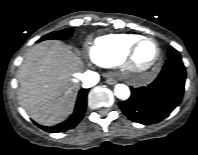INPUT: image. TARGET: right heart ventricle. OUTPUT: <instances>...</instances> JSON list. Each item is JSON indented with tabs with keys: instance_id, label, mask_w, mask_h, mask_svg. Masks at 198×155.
<instances>
[{
	"instance_id": "e07e8e85",
	"label": "right heart ventricle",
	"mask_w": 198,
	"mask_h": 155,
	"mask_svg": "<svg viewBox=\"0 0 198 155\" xmlns=\"http://www.w3.org/2000/svg\"><path fill=\"white\" fill-rule=\"evenodd\" d=\"M142 36L137 34H108L96 38L90 47V57L103 66L121 63L130 47Z\"/></svg>"
}]
</instances>
